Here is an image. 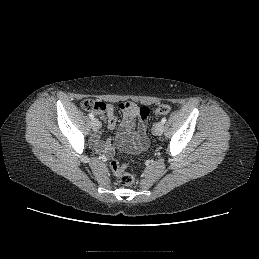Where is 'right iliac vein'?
I'll return each mask as SVG.
<instances>
[{
	"label": "right iliac vein",
	"mask_w": 259,
	"mask_h": 259,
	"mask_svg": "<svg viewBox=\"0 0 259 259\" xmlns=\"http://www.w3.org/2000/svg\"><path fill=\"white\" fill-rule=\"evenodd\" d=\"M91 127L94 131L98 130L100 127V123L97 119H92L91 121Z\"/></svg>",
	"instance_id": "63e3f726"
}]
</instances>
